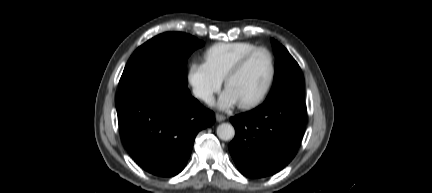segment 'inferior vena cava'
I'll return each mask as SVG.
<instances>
[{"label": "inferior vena cava", "instance_id": "obj_1", "mask_svg": "<svg viewBox=\"0 0 432 193\" xmlns=\"http://www.w3.org/2000/svg\"><path fill=\"white\" fill-rule=\"evenodd\" d=\"M194 95L198 98L203 99L207 103H213L214 102V96L211 92L204 90V89H195Z\"/></svg>", "mask_w": 432, "mask_h": 193}]
</instances>
